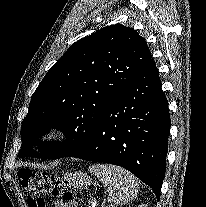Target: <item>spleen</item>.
Wrapping results in <instances>:
<instances>
[{"label": "spleen", "mask_w": 206, "mask_h": 207, "mask_svg": "<svg viewBox=\"0 0 206 207\" xmlns=\"http://www.w3.org/2000/svg\"><path fill=\"white\" fill-rule=\"evenodd\" d=\"M88 171L94 174L107 190L109 201L115 205H124L132 201L138 193L139 182L130 172L123 168L96 164Z\"/></svg>", "instance_id": "spleen-1"}]
</instances>
